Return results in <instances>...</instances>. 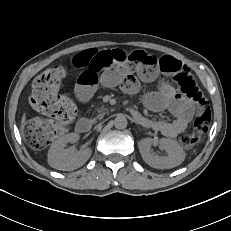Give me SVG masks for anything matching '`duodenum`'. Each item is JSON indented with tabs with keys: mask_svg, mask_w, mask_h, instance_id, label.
Wrapping results in <instances>:
<instances>
[{
	"mask_svg": "<svg viewBox=\"0 0 231 231\" xmlns=\"http://www.w3.org/2000/svg\"><path fill=\"white\" fill-rule=\"evenodd\" d=\"M91 129V123L88 119H80L78 123L76 124V131L78 133L84 134L89 132Z\"/></svg>",
	"mask_w": 231,
	"mask_h": 231,
	"instance_id": "duodenum-1",
	"label": "duodenum"
}]
</instances>
